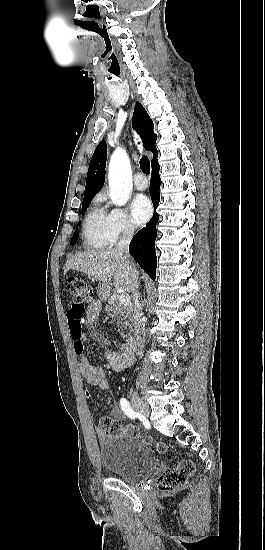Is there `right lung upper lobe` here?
<instances>
[{
	"mask_svg": "<svg viewBox=\"0 0 265 550\" xmlns=\"http://www.w3.org/2000/svg\"><path fill=\"white\" fill-rule=\"evenodd\" d=\"M133 124L141 134L145 149L153 153L151 164H155L158 155L155 146L157 135L153 132L154 124L152 120L140 103L135 106ZM106 157V142L101 141L96 147L90 161L84 199L93 198L103 186L105 180Z\"/></svg>",
	"mask_w": 265,
	"mask_h": 550,
	"instance_id": "cb5924a9",
	"label": "right lung upper lobe"
}]
</instances>
